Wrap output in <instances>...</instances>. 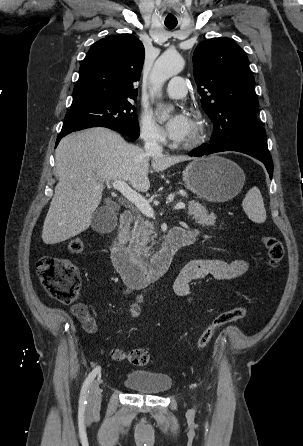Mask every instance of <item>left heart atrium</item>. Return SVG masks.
<instances>
[{"instance_id":"39dd6f15","label":"left heart atrium","mask_w":303,"mask_h":446,"mask_svg":"<svg viewBox=\"0 0 303 446\" xmlns=\"http://www.w3.org/2000/svg\"><path fill=\"white\" fill-rule=\"evenodd\" d=\"M190 118L184 113H175L167 117L165 132L175 141H182L189 129Z\"/></svg>"}]
</instances>
